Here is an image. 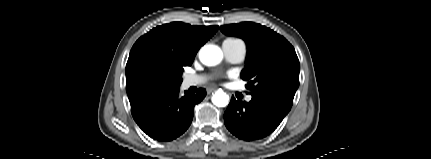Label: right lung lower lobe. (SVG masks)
<instances>
[{
	"label": "right lung lower lobe",
	"mask_w": 431,
	"mask_h": 159,
	"mask_svg": "<svg viewBox=\"0 0 431 159\" xmlns=\"http://www.w3.org/2000/svg\"><path fill=\"white\" fill-rule=\"evenodd\" d=\"M206 96L201 88L197 94L185 92L179 96V87L147 97L131 107L134 120L151 138L172 141L181 136L190 126L194 106Z\"/></svg>",
	"instance_id": "obj_1"
}]
</instances>
